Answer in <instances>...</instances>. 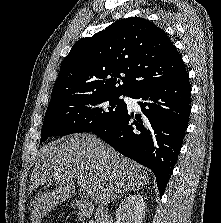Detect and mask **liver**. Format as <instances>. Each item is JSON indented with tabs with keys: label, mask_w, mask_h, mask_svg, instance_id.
<instances>
[{
	"label": "liver",
	"mask_w": 221,
	"mask_h": 223,
	"mask_svg": "<svg viewBox=\"0 0 221 223\" xmlns=\"http://www.w3.org/2000/svg\"><path fill=\"white\" fill-rule=\"evenodd\" d=\"M74 180L93 189L96 204L107 205L118 194L144 186L149 176L95 135L67 136L60 144H48L38 152L30 191L47 182H56L57 187L38 195L31 210L32 223H40L54 206L74 194Z\"/></svg>",
	"instance_id": "obj_1"
}]
</instances>
